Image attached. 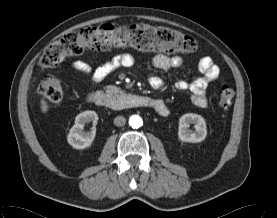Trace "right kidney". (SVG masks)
<instances>
[{
    "label": "right kidney",
    "instance_id": "obj_1",
    "mask_svg": "<svg viewBox=\"0 0 277 218\" xmlns=\"http://www.w3.org/2000/svg\"><path fill=\"white\" fill-rule=\"evenodd\" d=\"M98 121V115L95 111L87 110L76 116L75 124L70 129L67 136L68 143L75 149H85L91 146L95 139L96 129L93 128L90 132L84 131L86 123Z\"/></svg>",
    "mask_w": 277,
    "mask_h": 218
}]
</instances>
